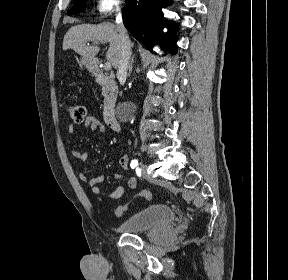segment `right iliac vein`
Segmentation results:
<instances>
[{"label": "right iliac vein", "instance_id": "1", "mask_svg": "<svg viewBox=\"0 0 288 280\" xmlns=\"http://www.w3.org/2000/svg\"><path fill=\"white\" fill-rule=\"evenodd\" d=\"M141 169H142L143 173L145 174V173H146L147 166L144 165V164H142V165H141Z\"/></svg>", "mask_w": 288, "mask_h": 280}]
</instances>
